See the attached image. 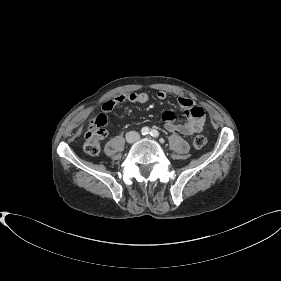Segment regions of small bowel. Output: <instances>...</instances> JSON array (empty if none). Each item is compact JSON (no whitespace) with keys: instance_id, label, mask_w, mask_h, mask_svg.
I'll use <instances>...</instances> for the list:
<instances>
[{"instance_id":"obj_1","label":"small bowel","mask_w":281,"mask_h":281,"mask_svg":"<svg viewBox=\"0 0 281 281\" xmlns=\"http://www.w3.org/2000/svg\"><path fill=\"white\" fill-rule=\"evenodd\" d=\"M156 97L159 101H165L167 99V94L160 91L157 93ZM149 99L150 96L146 92L121 94L112 100L106 101L102 105V110L104 112H111L118 105L126 101L144 104L147 103ZM178 104L183 109V114L187 119L186 122L175 123L174 112L167 110L162 115L165 129L169 132H177L186 136L202 131L205 124V112L203 108L195 104L192 100L184 97L178 98Z\"/></svg>"}]
</instances>
